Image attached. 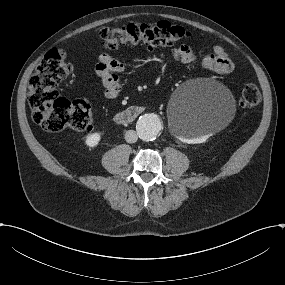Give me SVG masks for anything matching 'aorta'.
<instances>
[{"label": "aorta", "instance_id": "762f6f07", "mask_svg": "<svg viewBox=\"0 0 285 285\" xmlns=\"http://www.w3.org/2000/svg\"><path fill=\"white\" fill-rule=\"evenodd\" d=\"M162 125L159 118L154 114H145L139 118L136 124V131L143 141L155 140Z\"/></svg>", "mask_w": 285, "mask_h": 285}]
</instances>
